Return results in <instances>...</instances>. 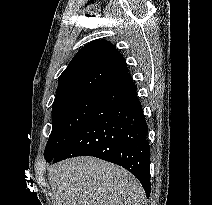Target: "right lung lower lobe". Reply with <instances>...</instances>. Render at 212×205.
<instances>
[{"label":"right lung lower lobe","instance_id":"98d812e1","mask_svg":"<svg viewBox=\"0 0 212 205\" xmlns=\"http://www.w3.org/2000/svg\"><path fill=\"white\" fill-rule=\"evenodd\" d=\"M148 126L136 86L127 73L101 96V99L70 141L48 162L76 156H94L130 171L150 195V147Z\"/></svg>","mask_w":212,"mask_h":205}]
</instances>
